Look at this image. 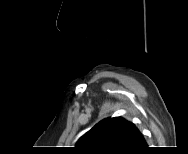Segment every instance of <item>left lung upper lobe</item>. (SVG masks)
<instances>
[{"instance_id": "1", "label": "left lung upper lobe", "mask_w": 188, "mask_h": 154, "mask_svg": "<svg viewBox=\"0 0 188 154\" xmlns=\"http://www.w3.org/2000/svg\"><path fill=\"white\" fill-rule=\"evenodd\" d=\"M136 129L121 117L107 118L85 133L75 148L85 154H124L131 150Z\"/></svg>"}]
</instances>
